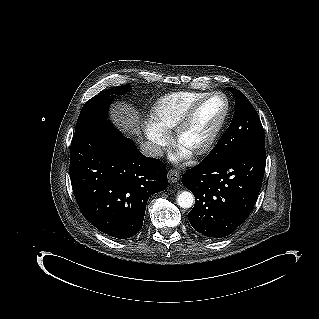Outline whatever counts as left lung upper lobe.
<instances>
[{"mask_svg":"<svg viewBox=\"0 0 319 319\" xmlns=\"http://www.w3.org/2000/svg\"><path fill=\"white\" fill-rule=\"evenodd\" d=\"M227 90L235 97V113L229 128L205 158L206 161L215 162L243 149L265 146L264 130L250 101L235 88L228 87Z\"/></svg>","mask_w":319,"mask_h":319,"instance_id":"left-lung-upper-lobe-1","label":"left lung upper lobe"}]
</instances>
